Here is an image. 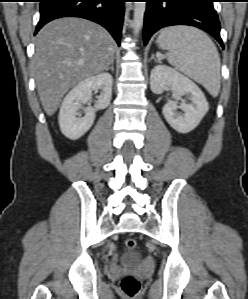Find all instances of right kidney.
<instances>
[{"label":"right kidney","instance_id":"obj_1","mask_svg":"<svg viewBox=\"0 0 248 299\" xmlns=\"http://www.w3.org/2000/svg\"><path fill=\"white\" fill-rule=\"evenodd\" d=\"M113 78L109 73H99L79 82L64 98L60 113L59 125L61 132L69 139L76 140L83 136L93 125L95 113L108 107L112 97ZM100 90L94 107L85 109L84 117L78 110L87 103L93 91Z\"/></svg>","mask_w":248,"mask_h":299}]
</instances>
